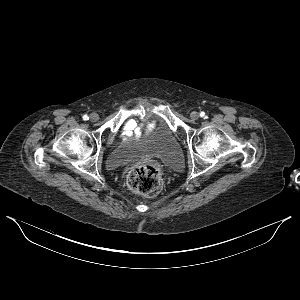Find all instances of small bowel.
<instances>
[{
  "label": "small bowel",
  "mask_w": 300,
  "mask_h": 300,
  "mask_svg": "<svg viewBox=\"0 0 300 300\" xmlns=\"http://www.w3.org/2000/svg\"><path fill=\"white\" fill-rule=\"evenodd\" d=\"M133 133L137 134L138 129L136 122L132 119L127 120L123 126V134L124 135H132Z\"/></svg>",
  "instance_id": "small-bowel-1"
}]
</instances>
